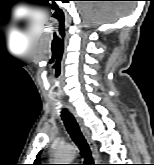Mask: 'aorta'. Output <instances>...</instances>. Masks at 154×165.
Returning a JSON list of instances; mask_svg holds the SVG:
<instances>
[{
  "mask_svg": "<svg viewBox=\"0 0 154 165\" xmlns=\"http://www.w3.org/2000/svg\"><path fill=\"white\" fill-rule=\"evenodd\" d=\"M76 155V148L72 145L59 147L55 150L54 164H71Z\"/></svg>",
  "mask_w": 154,
  "mask_h": 165,
  "instance_id": "obj_1",
  "label": "aorta"
}]
</instances>
